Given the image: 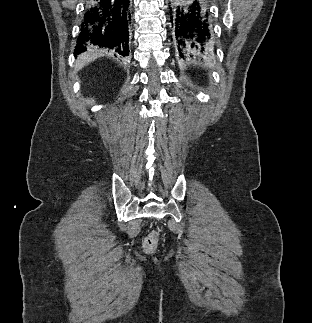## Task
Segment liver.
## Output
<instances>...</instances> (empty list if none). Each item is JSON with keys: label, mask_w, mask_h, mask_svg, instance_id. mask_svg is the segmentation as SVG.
Listing matches in <instances>:
<instances>
[{"label": "liver", "mask_w": 312, "mask_h": 323, "mask_svg": "<svg viewBox=\"0 0 312 323\" xmlns=\"http://www.w3.org/2000/svg\"><path fill=\"white\" fill-rule=\"evenodd\" d=\"M101 54L99 52H96V50H91V48H87V52H82V54H79L77 56V60H75V70H82L84 66H87L89 62H94L96 58H99Z\"/></svg>", "instance_id": "6515ba94"}]
</instances>
